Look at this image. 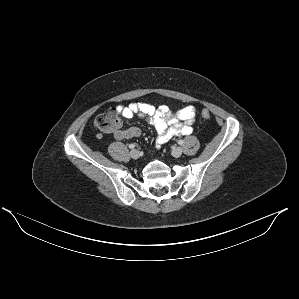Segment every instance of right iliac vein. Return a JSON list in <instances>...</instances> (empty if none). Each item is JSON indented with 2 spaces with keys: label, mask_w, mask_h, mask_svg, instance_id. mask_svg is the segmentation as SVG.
Returning a JSON list of instances; mask_svg holds the SVG:
<instances>
[{
  "label": "right iliac vein",
  "mask_w": 299,
  "mask_h": 299,
  "mask_svg": "<svg viewBox=\"0 0 299 299\" xmlns=\"http://www.w3.org/2000/svg\"><path fill=\"white\" fill-rule=\"evenodd\" d=\"M130 156H131V158H133V159H137V158H139V156H140L139 151L136 150V149L131 150V151H130Z\"/></svg>",
  "instance_id": "63e3f726"
}]
</instances>
